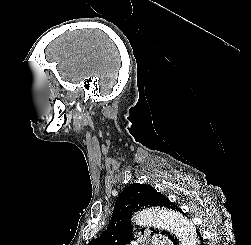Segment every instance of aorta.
<instances>
[{
	"instance_id": "1",
	"label": "aorta",
	"mask_w": 251,
	"mask_h": 245,
	"mask_svg": "<svg viewBox=\"0 0 251 245\" xmlns=\"http://www.w3.org/2000/svg\"><path fill=\"white\" fill-rule=\"evenodd\" d=\"M140 226L165 228L179 239V245H196L197 232L192 222L181 214L162 208H149L134 216Z\"/></svg>"
}]
</instances>
